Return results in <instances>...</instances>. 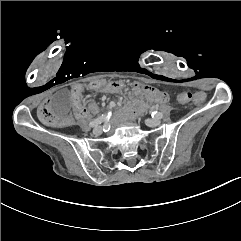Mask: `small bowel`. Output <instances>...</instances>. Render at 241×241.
<instances>
[{
    "label": "small bowel",
    "mask_w": 241,
    "mask_h": 241,
    "mask_svg": "<svg viewBox=\"0 0 241 241\" xmlns=\"http://www.w3.org/2000/svg\"><path fill=\"white\" fill-rule=\"evenodd\" d=\"M103 82V81H102ZM134 91H143L150 98L155 100L157 103H164L166 101V94L164 92H158L154 90L153 87L144 82H134L131 85ZM130 90V83L128 81L121 82H103V89L98 92H105L110 94H115L119 92H128ZM53 106V100L48 95H43L39 98L36 105L37 113L35 115L36 123L41 127H52L59 124V119L56 114L51 110ZM90 109L92 112L96 111V105L91 104ZM75 122V117L73 115H66L60 120V125L62 127H67Z\"/></svg>",
    "instance_id": "1"
}]
</instances>
